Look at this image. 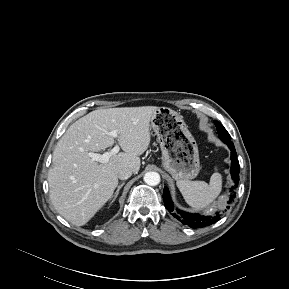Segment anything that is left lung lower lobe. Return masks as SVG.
I'll return each instance as SVG.
<instances>
[{
    "label": "left lung lower lobe",
    "instance_id": "left-lung-lower-lobe-1",
    "mask_svg": "<svg viewBox=\"0 0 289 289\" xmlns=\"http://www.w3.org/2000/svg\"><path fill=\"white\" fill-rule=\"evenodd\" d=\"M224 143L227 144V146L231 150V176L232 179L235 182V185L232 186L230 191L232 192V195L229 197L228 204H231L233 202V199L235 197L234 190L237 188L238 181H239V161L236 158V151L233 142L231 139H224L222 140ZM163 201L165 203V208L179 221H181L184 225H188L191 228H202L205 226H209L211 224H214L220 219L221 214L216 213L214 216H203L197 213H188L179 209L174 208V205L172 203V200L170 198L169 190L167 187L164 188L163 192ZM229 208V206H227Z\"/></svg>",
    "mask_w": 289,
    "mask_h": 289
}]
</instances>
